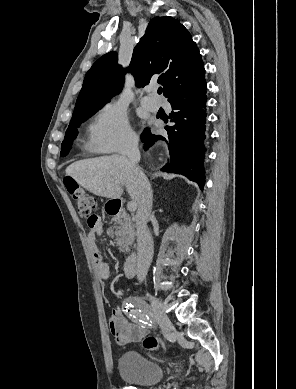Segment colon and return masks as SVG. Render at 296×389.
Instances as JSON below:
<instances>
[{
	"instance_id": "1",
	"label": "colon",
	"mask_w": 296,
	"mask_h": 389,
	"mask_svg": "<svg viewBox=\"0 0 296 389\" xmlns=\"http://www.w3.org/2000/svg\"><path fill=\"white\" fill-rule=\"evenodd\" d=\"M64 184L76 203L80 215L86 217L89 224L94 223L96 216L93 214L96 207L94 198L82 189L72 178L66 177L64 179ZM158 346L159 341L155 337L149 336L143 340V347L148 351H154Z\"/></svg>"
}]
</instances>
